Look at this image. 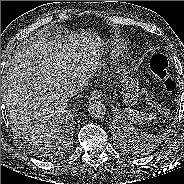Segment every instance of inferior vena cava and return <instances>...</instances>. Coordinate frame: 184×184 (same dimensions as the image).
<instances>
[{"label":"inferior vena cava","mask_w":184,"mask_h":184,"mask_svg":"<svg viewBox=\"0 0 184 184\" xmlns=\"http://www.w3.org/2000/svg\"><path fill=\"white\" fill-rule=\"evenodd\" d=\"M89 80L86 73H80L72 77L71 83L69 84L68 93L74 94L82 91L88 86Z\"/></svg>","instance_id":"1"}]
</instances>
